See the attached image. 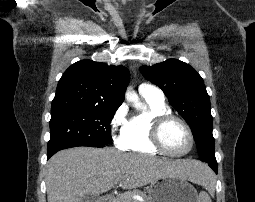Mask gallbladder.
<instances>
[{"label":"gallbladder","mask_w":255,"mask_h":202,"mask_svg":"<svg viewBox=\"0 0 255 202\" xmlns=\"http://www.w3.org/2000/svg\"><path fill=\"white\" fill-rule=\"evenodd\" d=\"M98 196L94 194H86L81 202H97Z\"/></svg>","instance_id":"1"}]
</instances>
